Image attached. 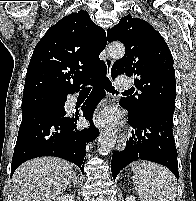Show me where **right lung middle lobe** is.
Returning a JSON list of instances; mask_svg holds the SVG:
<instances>
[{"label": "right lung middle lobe", "instance_id": "dd1d6c3e", "mask_svg": "<svg viewBox=\"0 0 196 201\" xmlns=\"http://www.w3.org/2000/svg\"><path fill=\"white\" fill-rule=\"evenodd\" d=\"M65 96L56 95H33L23 97L22 112L29 109H53L58 111L64 110Z\"/></svg>", "mask_w": 196, "mask_h": 201}]
</instances>
